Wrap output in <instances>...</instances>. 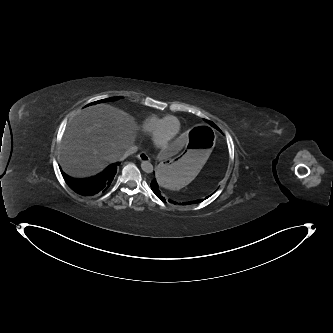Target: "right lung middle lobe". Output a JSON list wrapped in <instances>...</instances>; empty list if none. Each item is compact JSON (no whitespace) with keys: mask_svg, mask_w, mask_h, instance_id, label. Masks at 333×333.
<instances>
[{"mask_svg":"<svg viewBox=\"0 0 333 333\" xmlns=\"http://www.w3.org/2000/svg\"><path fill=\"white\" fill-rule=\"evenodd\" d=\"M117 98H119V97H111V98H107V99H103V100H99V101L93 102L91 104H96V103L104 102V101H112V100H116Z\"/></svg>","mask_w":333,"mask_h":333,"instance_id":"right-lung-middle-lobe-1","label":"right lung middle lobe"}]
</instances>
